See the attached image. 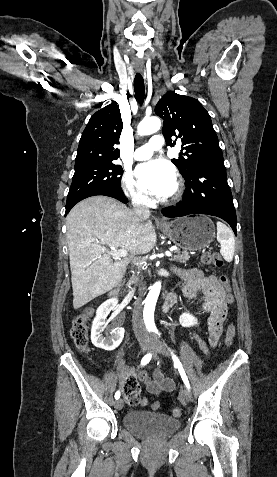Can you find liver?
<instances>
[{
  "label": "liver",
  "mask_w": 277,
  "mask_h": 477,
  "mask_svg": "<svg viewBox=\"0 0 277 477\" xmlns=\"http://www.w3.org/2000/svg\"><path fill=\"white\" fill-rule=\"evenodd\" d=\"M66 226L75 309L110 291L123 278L129 259L113 262L108 248L143 255L156 244L152 220L105 196L75 205Z\"/></svg>",
  "instance_id": "obj_1"
}]
</instances>
